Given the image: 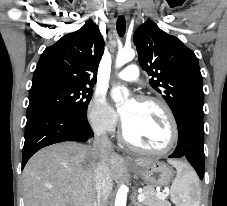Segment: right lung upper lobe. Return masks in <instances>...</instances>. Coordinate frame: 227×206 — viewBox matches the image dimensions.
Masks as SVG:
<instances>
[{
  "label": "right lung upper lobe",
  "instance_id": "cb5924a9",
  "mask_svg": "<svg viewBox=\"0 0 227 206\" xmlns=\"http://www.w3.org/2000/svg\"><path fill=\"white\" fill-rule=\"evenodd\" d=\"M103 52V37L98 26L89 20L78 31L63 36L44 50L33 83L56 80L92 87Z\"/></svg>",
  "mask_w": 227,
  "mask_h": 206
}]
</instances>
